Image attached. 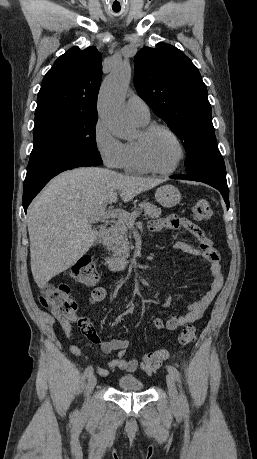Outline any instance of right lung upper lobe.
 I'll return each instance as SVG.
<instances>
[{
    "label": "right lung upper lobe",
    "instance_id": "right-lung-upper-lobe-1",
    "mask_svg": "<svg viewBox=\"0 0 257 459\" xmlns=\"http://www.w3.org/2000/svg\"><path fill=\"white\" fill-rule=\"evenodd\" d=\"M102 57L96 47H74L61 55L45 75L36 112L67 109L97 115Z\"/></svg>",
    "mask_w": 257,
    "mask_h": 459
}]
</instances>
